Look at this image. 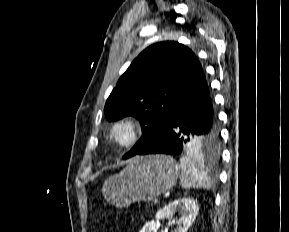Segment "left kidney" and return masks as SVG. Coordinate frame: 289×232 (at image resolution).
Returning <instances> with one entry per match:
<instances>
[{
    "label": "left kidney",
    "mask_w": 289,
    "mask_h": 232,
    "mask_svg": "<svg viewBox=\"0 0 289 232\" xmlns=\"http://www.w3.org/2000/svg\"><path fill=\"white\" fill-rule=\"evenodd\" d=\"M199 207L197 201L191 198H182L174 200L166 205L163 209L159 210L156 214V220L147 222L140 232H156L159 220L163 218H171L172 224H177L173 232H187L189 227L194 222L198 215ZM175 212H179L181 217L176 220L173 218Z\"/></svg>",
    "instance_id": "1"
}]
</instances>
